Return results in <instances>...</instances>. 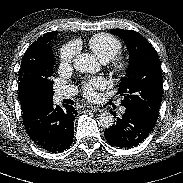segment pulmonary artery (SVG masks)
I'll return each mask as SVG.
<instances>
[{
  "instance_id": "e3ab8cb5",
  "label": "pulmonary artery",
  "mask_w": 183,
  "mask_h": 183,
  "mask_svg": "<svg viewBox=\"0 0 183 183\" xmlns=\"http://www.w3.org/2000/svg\"><path fill=\"white\" fill-rule=\"evenodd\" d=\"M75 94V89L71 86H62V87H59L55 90L54 92V100L56 102H59L65 98H69L71 96H73ZM120 111L122 113L125 112V108L122 107L120 108Z\"/></svg>"
}]
</instances>
